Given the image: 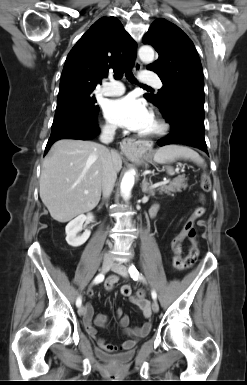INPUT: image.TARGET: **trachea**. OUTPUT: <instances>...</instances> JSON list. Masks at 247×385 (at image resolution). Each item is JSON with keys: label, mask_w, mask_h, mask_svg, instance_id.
<instances>
[{"label": "trachea", "mask_w": 247, "mask_h": 385, "mask_svg": "<svg viewBox=\"0 0 247 385\" xmlns=\"http://www.w3.org/2000/svg\"><path fill=\"white\" fill-rule=\"evenodd\" d=\"M124 72H125L126 78H127L130 82L136 83V79H135L133 73L131 72V70L127 69V70L125 71L124 68H119V69L115 72V74H114L115 79H117V80H118V79H121V78L123 77ZM142 86H143V87H146V88H150V87L147 86V85H142Z\"/></svg>", "instance_id": "obj_1"}]
</instances>
